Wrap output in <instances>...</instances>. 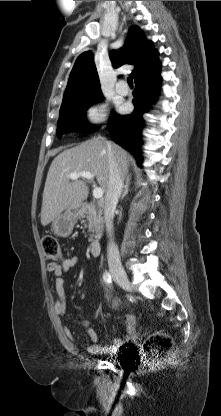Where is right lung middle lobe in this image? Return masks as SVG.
Wrapping results in <instances>:
<instances>
[{
  "mask_svg": "<svg viewBox=\"0 0 221 416\" xmlns=\"http://www.w3.org/2000/svg\"><path fill=\"white\" fill-rule=\"evenodd\" d=\"M102 98V94H97L88 98L63 102L59 120L57 123V134L61 137L64 133L79 131L83 133L92 132L85 118L86 110L96 101Z\"/></svg>",
  "mask_w": 221,
  "mask_h": 416,
  "instance_id": "1",
  "label": "right lung middle lobe"
}]
</instances>
